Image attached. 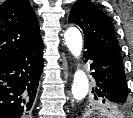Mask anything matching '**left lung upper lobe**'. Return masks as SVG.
Returning a JSON list of instances; mask_svg holds the SVG:
<instances>
[{"label": "left lung upper lobe", "mask_w": 133, "mask_h": 118, "mask_svg": "<svg viewBox=\"0 0 133 118\" xmlns=\"http://www.w3.org/2000/svg\"><path fill=\"white\" fill-rule=\"evenodd\" d=\"M69 22L81 27L84 33L85 44L96 45L109 55L123 62L119 43L114 34V27L107 15L94 3L89 0H78L71 9ZM95 100L97 102L93 105L94 108L98 107L105 112L124 108L122 105H113L96 97ZM91 108V106L87 107L84 114H89L92 111Z\"/></svg>", "instance_id": "1"}]
</instances>
